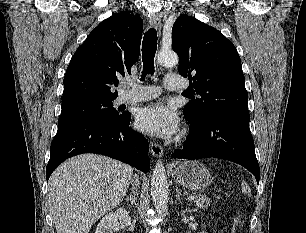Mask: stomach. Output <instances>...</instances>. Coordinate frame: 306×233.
Segmentation results:
<instances>
[{
    "label": "stomach",
    "mask_w": 306,
    "mask_h": 233,
    "mask_svg": "<svg viewBox=\"0 0 306 233\" xmlns=\"http://www.w3.org/2000/svg\"><path fill=\"white\" fill-rule=\"evenodd\" d=\"M172 177L175 182L193 191L205 190L212 181L209 170L196 160L184 161L172 171Z\"/></svg>",
    "instance_id": "stomach-1"
}]
</instances>
